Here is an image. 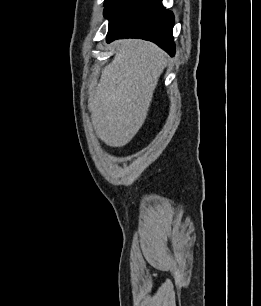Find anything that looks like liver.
Here are the masks:
<instances>
[{
	"instance_id": "6515ba94",
	"label": "liver",
	"mask_w": 261,
	"mask_h": 306,
	"mask_svg": "<svg viewBox=\"0 0 261 306\" xmlns=\"http://www.w3.org/2000/svg\"><path fill=\"white\" fill-rule=\"evenodd\" d=\"M115 45L116 55L102 70L89 110L98 138L108 146L121 147L144 124L166 53L140 39L119 40Z\"/></svg>"
}]
</instances>
